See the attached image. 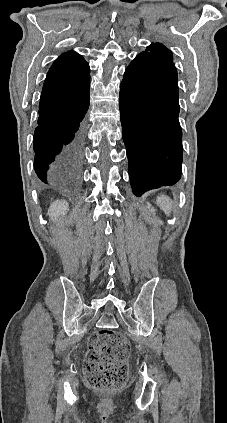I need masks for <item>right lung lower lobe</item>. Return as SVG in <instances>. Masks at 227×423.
<instances>
[{
    "instance_id": "obj_1",
    "label": "right lung lower lobe",
    "mask_w": 227,
    "mask_h": 423,
    "mask_svg": "<svg viewBox=\"0 0 227 423\" xmlns=\"http://www.w3.org/2000/svg\"><path fill=\"white\" fill-rule=\"evenodd\" d=\"M89 101V93L66 100L41 96L34 168L44 187L70 192L78 185L84 146L81 122Z\"/></svg>"
}]
</instances>
